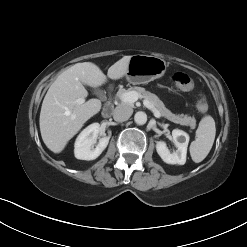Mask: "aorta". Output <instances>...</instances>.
Returning <instances> with one entry per match:
<instances>
[{"label": "aorta", "mask_w": 247, "mask_h": 247, "mask_svg": "<svg viewBox=\"0 0 247 247\" xmlns=\"http://www.w3.org/2000/svg\"><path fill=\"white\" fill-rule=\"evenodd\" d=\"M135 123L143 125L147 122V115L145 112L139 111L134 116Z\"/></svg>", "instance_id": "762f6f07"}]
</instances>
